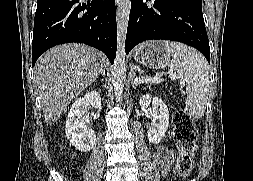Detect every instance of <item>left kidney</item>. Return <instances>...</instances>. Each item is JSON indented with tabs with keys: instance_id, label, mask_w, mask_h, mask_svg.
<instances>
[{
	"instance_id": "1",
	"label": "left kidney",
	"mask_w": 253,
	"mask_h": 181,
	"mask_svg": "<svg viewBox=\"0 0 253 181\" xmlns=\"http://www.w3.org/2000/svg\"><path fill=\"white\" fill-rule=\"evenodd\" d=\"M139 104L142 108L152 104V122L147 135L152 144L160 143L169 127V111L167 105L161 98L145 94L140 98Z\"/></svg>"
}]
</instances>
